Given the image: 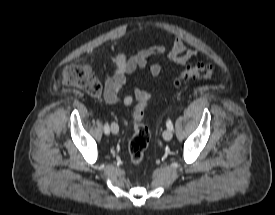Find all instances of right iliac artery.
<instances>
[{
    "label": "right iliac artery",
    "instance_id": "1",
    "mask_svg": "<svg viewBox=\"0 0 275 215\" xmlns=\"http://www.w3.org/2000/svg\"><path fill=\"white\" fill-rule=\"evenodd\" d=\"M104 132H105V134H109V132H110L108 123H105V125H104Z\"/></svg>",
    "mask_w": 275,
    "mask_h": 215
}]
</instances>
